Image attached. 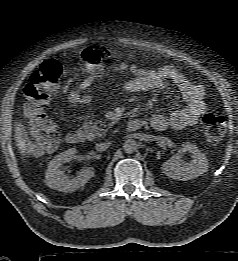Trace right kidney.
<instances>
[{
    "instance_id": "1",
    "label": "right kidney",
    "mask_w": 238,
    "mask_h": 261,
    "mask_svg": "<svg viewBox=\"0 0 238 261\" xmlns=\"http://www.w3.org/2000/svg\"><path fill=\"white\" fill-rule=\"evenodd\" d=\"M75 157L76 149L70 148L58 154L49 162L45 173V183L48 187L65 193L73 192L84 186L93 177L94 170L92 168L82 169L73 179H69L64 174L61 166Z\"/></svg>"
}]
</instances>
